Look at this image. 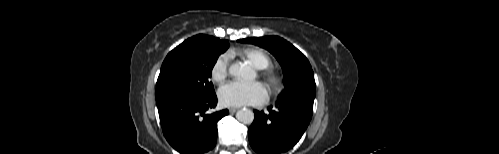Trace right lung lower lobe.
<instances>
[{
  "mask_svg": "<svg viewBox=\"0 0 499 154\" xmlns=\"http://www.w3.org/2000/svg\"><path fill=\"white\" fill-rule=\"evenodd\" d=\"M156 104L163 134L181 154H203L213 149L217 122L229 113L228 110L206 113L217 105L216 94L200 100L173 97Z\"/></svg>",
  "mask_w": 499,
  "mask_h": 154,
  "instance_id": "98d812e1",
  "label": "right lung lower lobe"
}]
</instances>
